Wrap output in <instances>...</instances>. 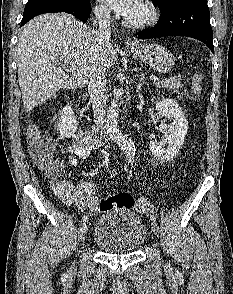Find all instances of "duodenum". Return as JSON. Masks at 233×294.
Masks as SVG:
<instances>
[{
	"instance_id": "1",
	"label": "duodenum",
	"mask_w": 233,
	"mask_h": 294,
	"mask_svg": "<svg viewBox=\"0 0 233 294\" xmlns=\"http://www.w3.org/2000/svg\"><path fill=\"white\" fill-rule=\"evenodd\" d=\"M78 137L89 147H97L103 143V139L92 131L80 130Z\"/></svg>"
}]
</instances>
